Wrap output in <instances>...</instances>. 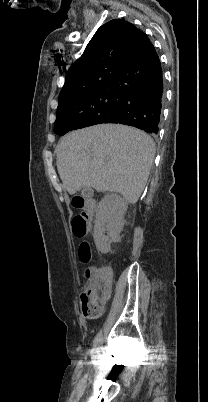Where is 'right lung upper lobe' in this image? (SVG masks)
Listing matches in <instances>:
<instances>
[{
	"instance_id": "1",
	"label": "right lung upper lobe",
	"mask_w": 208,
	"mask_h": 402,
	"mask_svg": "<svg viewBox=\"0 0 208 402\" xmlns=\"http://www.w3.org/2000/svg\"><path fill=\"white\" fill-rule=\"evenodd\" d=\"M146 38L144 32L123 19L102 25L69 68L59 96L102 81H114Z\"/></svg>"
}]
</instances>
